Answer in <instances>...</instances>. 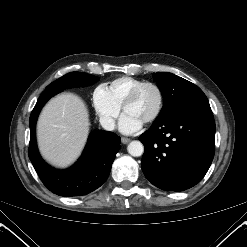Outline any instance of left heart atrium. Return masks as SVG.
I'll list each match as a JSON object with an SVG mask.
<instances>
[{"mask_svg":"<svg viewBox=\"0 0 247 247\" xmlns=\"http://www.w3.org/2000/svg\"><path fill=\"white\" fill-rule=\"evenodd\" d=\"M143 121L137 117L124 113L119 120V129L124 134H132L141 129Z\"/></svg>","mask_w":247,"mask_h":247,"instance_id":"39dd6f15","label":"left heart atrium"}]
</instances>
